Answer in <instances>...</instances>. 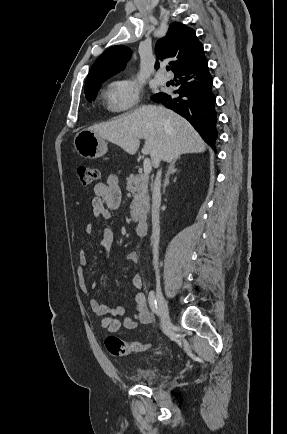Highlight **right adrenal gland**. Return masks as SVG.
Instances as JSON below:
<instances>
[{
	"instance_id": "right-adrenal-gland-1",
	"label": "right adrenal gland",
	"mask_w": 287,
	"mask_h": 434,
	"mask_svg": "<svg viewBox=\"0 0 287 434\" xmlns=\"http://www.w3.org/2000/svg\"><path fill=\"white\" fill-rule=\"evenodd\" d=\"M178 159L179 158H174L173 160L169 161L170 165L168 166V171L165 175V180H164V185H163L164 190L167 187V185L169 184L170 176L173 175L177 171V169L175 168V164H176Z\"/></svg>"
}]
</instances>
